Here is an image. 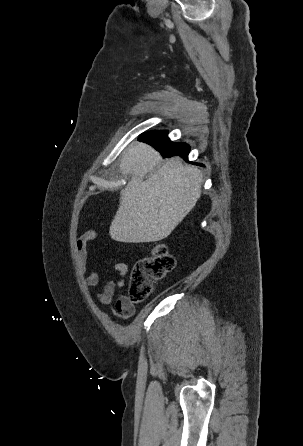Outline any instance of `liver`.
Returning a JSON list of instances; mask_svg holds the SVG:
<instances>
[{
    "mask_svg": "<svg viewBox=\"0 0 303 446\" xmlns=\"http://www.w3.org/2000/svg\"><path fill=\"white\" fill-rule=\"evenodd\" d=\"M161 162L151 146L136 142L123 154L120 171L130 179L120 192V205L109 234L124 243L157 242L168 237L201 196L202 175L194 166L172 158L147 180Z\"/></svg>",
    "mask_w": 303,
    "mask_h": 446,
    "instance_id": "6515ba94",
    "label": "liver"
}]
</instances>
